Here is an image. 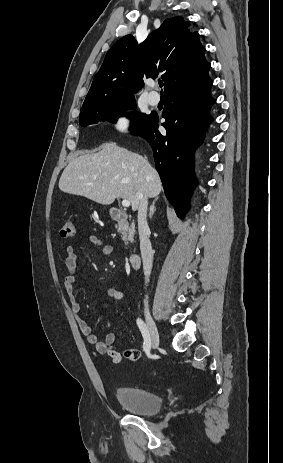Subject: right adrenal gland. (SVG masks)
Listing matches in <instances>:
<instances>
[{"instance_id": "obj_1", "label": "right adrenal gland", "mask_w": 283, "mask_h": 463, "mask_svg": "<svg viewBox=\"0 0 283 463\" xmlns=\"http://www.w3.org/2000/svg\"><path fill=\"white\" fill-rule=\"evenodd\" d=\"M158 200V197H155L151 206H150V211L148 217L151 219L153 217L154 212L156 211L155 203Z\"/></svg>"}]
</instances>
